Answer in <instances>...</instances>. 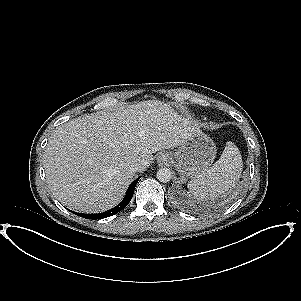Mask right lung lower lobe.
Here are the masks:
<instances>
[{
	"mask_svg": "<svg viewBox=\"0 0 301 301\" xmlns=\"http://www.w3.org/2000/svg\"><path fill=\"white\" fill-rule=\"evenodd\" d=\"M139 178H137L135 181H133L129 188L127 189L126 195L123 199V201L116 206L115 208L108 210L106 212L103 213H98V214H81V213H75L78 214L79 216L83 217V218H87V219H102V218H106V217H110L112 215H115L116 213L120 212L122 209H124L128 203L130 202V200L132 199L134 190H135V186L138 182Z\"/></svg>",
	"mask_w": 301,
	"mask_h": 301,
	"instance_id": "98d812e1",
	"label": "right lung lower lobe"
}]
</instances>
